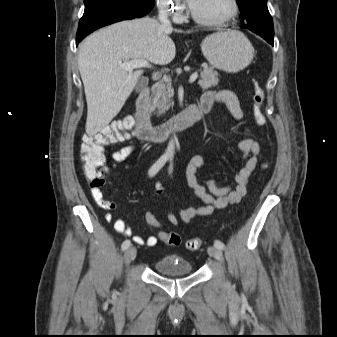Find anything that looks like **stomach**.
Masks as SVG:
<instances>
[{"label":"stomach","instance_id":"0dacf381","mask_svg":"<svg viewBox=\"0 0 337 337\" xmlns=\"http://www.w3.org/2000/svg\"><path fill=\"white\" fill-rule=\"evenodd\" d=\"M207 61L228 73L245 69L254 57V48L239 31H224L209 35L201 44Z\"/></svg>","mask_w":337,"mask_h":337}]
</instances>
